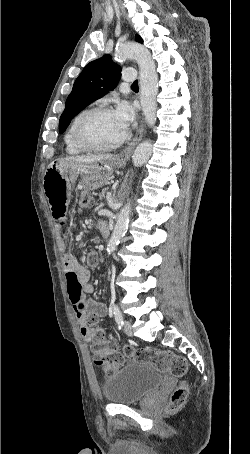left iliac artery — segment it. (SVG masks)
Here are the masks:
<instances>
[{"label": "left iliac artery", "instance_id": "1", "mask_svg": "<svg viewBox=\"0 0 250 454\" xmlns=\"http://www.w3.org/2000/svg\"><path fill=\"white\" fill-rule=\"evenodd\" d=\"M112 309H113V313H114V316H115V320H116V322L118 324V328L121 329V327L123 325L122 313H121L119 307L116 304H113Z\"/></svg>", "mask_w": 250, "mask_h": 454}]
</instances>
